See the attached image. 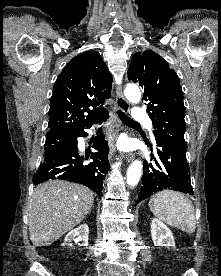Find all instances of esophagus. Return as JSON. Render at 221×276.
Listing matches in <instances>:
<instances>
[{"mask_svg": "<svg viewBox=\"0 0 221 276\" xmlns=\"http://www.w3.org/2000/svg\"><path fill=\"white\" fill-rule=\"evenodd\" d=\"M116 104L117 107L123 111V112H129L130 106L127 100L124 98L123 93H122V86H117L116 88ZM122 158L126 160L127 162H130L131 160L134 159V154L129 152V153H124L122 154Z\"/></svg>", "mask_w": 221, "mask_h": 276, "instance_id": "1", "label": "esophagus"}]
</instances>
